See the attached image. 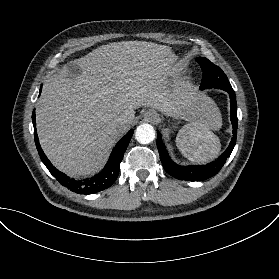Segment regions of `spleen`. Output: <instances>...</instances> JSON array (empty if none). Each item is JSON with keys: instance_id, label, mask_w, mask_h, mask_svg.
Returning a JSON list of instances; mask_svg holds the SVG:
<instances>
[{"instance_id": "1", "label": "spleen", "mask_w": 279, "mask_h": 279, "mask_svg": "<svg viewBox=\"0 0 279 279\" xmlns=\"http://www.w3.org/2000/svg\"><path fill=\"white\" fill-rule=\"evenodd\" d=\"M205 103L203 117L185 125L176 137V145L190 161L207 162L216 158L221 150L219 138L211 131L222 126V117L215 102L202 95Z\"/></svg>"}]
</instances>
